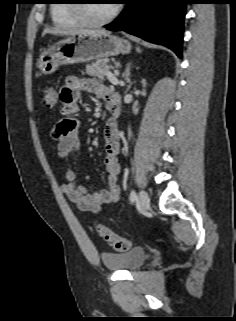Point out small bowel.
<instances>
[{
  "mask_svg": "<svg viewBox=\"0 0 236 321\" xmlns=\"http://www.w3.org/2000/svg\"><path fill=\"white\" fill-rule=\"evenodd\" d=\"M94 95L108 101L114 93L110 88L95 79H82L77 76H68L64 86L60 89L62 118L51 130V137L57 142V152L62 159L77 157L81 152L79 138V120L74 115L79 111V100L82 93ZM105 155L103 164L107 172L108 187L90 191L78 183L77 171L68 169L65 173L66 182L61 191L78 208L84 211L98 212L103 204L117 203L120 199L118 177L121 166L118 161L119 129L113 119H108L104 130Z\"/></svg>",
  "mask_w": 236,
  "mask_h": 321,
  "instance_id": "c3829d8e",
  "label": "small bowel"
}]
</instances>
